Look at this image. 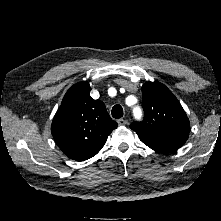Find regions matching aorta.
<instances>
[{
  "instance_id": "aorta-1",
  "label": "aorta",
  "mask_w": 221,
  "mask_h": 221,
  "mask_svg": "<svg viewBox=\"0 0 221 221\" xmlns=\"http://www.w3.org/2000/svg\"><path fill=\"white\" fill-rule=\"evenodd\" d=\"M133 114L136 119L140 120L143 116V111L139 106L136 105L133 107Z\"/></svg>"
}]
</instances>
